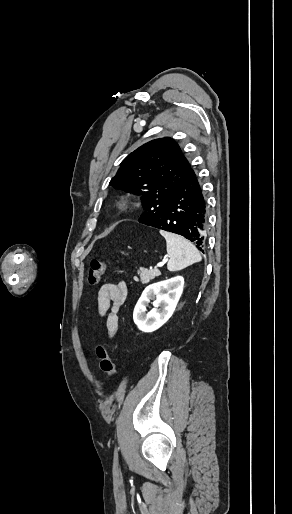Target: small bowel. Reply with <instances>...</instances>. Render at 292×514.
Listing matches in <instances>:
<instances>
[{"label": "small bowel", "mask_w": 292, "mask_h": 514, "mask_svg": "<svg viewBox=\"0 0 292 514\" xmlns=\"http://www.w3.org/2000/svg\"><path fill=\"white\" fill-rule=\"evenodd\" d=\"M127 295L124 282L105 283L98 291V315L105 318V326L110 337L114 336L119 325V311Z\"/></svg>", "instance_id": "obj_1"}]
</instances>
